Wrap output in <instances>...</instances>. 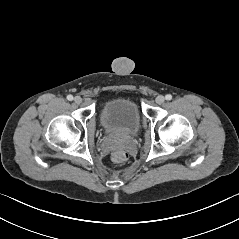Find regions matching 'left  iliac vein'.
Here are the masks:
<instances>
[{"mask_svg": "<svg viewBox=\"0 0 239 239\" xmlns=\"http://www.w3.org/2000/svg\"><path fill=\"white\" fill-rule=\"evenodd\" d=\"M155 101H156L157 104H163L164 101H165V98H164V96H162V95H158V96L156 97Z\"/></svg>", "mask_w": 239, "mask_h": 239, "instance_id": "4c4485c4", "label": "left iliac vein"}]
</instances>
